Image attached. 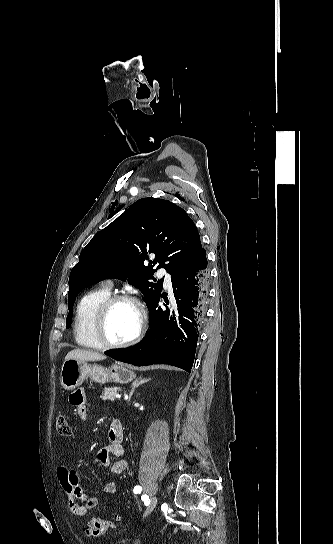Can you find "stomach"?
I'll return each instance as SVG.
<instances>
[{
	"label": "stomach",
	"mask_w": 333,
	"mask_h": 544,
	"mask_svg": "<svg viewBox=\"0 0 333 544\" xmlns=\"http://www.w3.org/2000/svg\"><path fill=\"white\" fill-rule=\"evenodd\" d=\"M90 377L98 383L116 382L128 383L135 378L134 372L126 365L114 364L110 368L85 361L69 359L65 360L60 372L61 385L65 390H73Z\"/></svg>",
	"instance_id": "0dacf381"
}]
</instances>
